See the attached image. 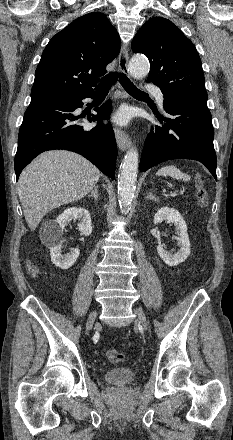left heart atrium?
Masks as SVG:
<instances>
[{
    "label": "left heart atrium",
    "instance_id": "39dd6f15",
    "mask_svg": "<svg viewBox=\"0 0 233 440\" xmlns=\"http://www.w3.org/2000/svg\"><path fill=\"white\" fill-rule=\"evenodd\" d=\"M129 113L127 110L122 109L119 112H117L114 116V121L119 124H126L129 121Z\"/></svg>",
    "mask_w": 233,
    "mask_h": 440
}]
</instances>
